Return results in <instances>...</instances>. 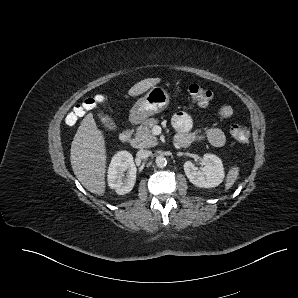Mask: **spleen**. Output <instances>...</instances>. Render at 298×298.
Masks as SVG:
<instances>
[{
	"label": "spleen",
	"mask_w": 298,
	"mask_h": 298,
	"mask_svg": "<svg viewBox=\"0 0 298 298\" xmlns=\"http://www.w3.org/2000/svg\"><path fill=\"white\" fill-rule=\"evenodd\" d=\"M237 169H232L227 177L226 188L228 189L237 178Z\"/></svg>",
	"instance_id": "obj_1"
}]
</instances>
